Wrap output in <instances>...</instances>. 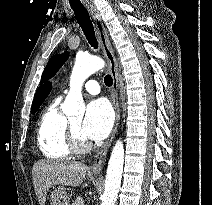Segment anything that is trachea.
I'll use <instances>...</instances> for the list:
<instances>
[{
  "label": "trachea",
  "instance_id": "obj_1",
  "mask_svg": "<svg viewBox=\"0 0 212 205\" xmlns=\"http://www.w3.org/2000/svg\"><path fill=\"white\" fill-rule=\"evenodd\" d=\"M71 8L73 9L75 18L82 28V31L84 32L89 44L96 49L98 47V42L87 10L82 4H71ZM104 83L108 87L113 84V79L109 74L104 77Z\"/></svg>",
  "mask_w": 212,
  "mask_h": 205
}]
</instances>
